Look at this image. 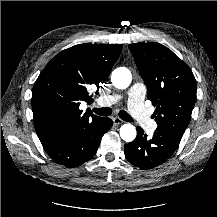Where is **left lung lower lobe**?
<instances>
[{"instance_id": "1", "label": "left lung lower lobe", "mask_w": 217, "mask_h": 217, "mask_svg": "<svg viewBox=\"0 0 217 217\" xmlns=\"http://www.w3.org/2000/svg\"><path fill=\"white\" fill-rule=\"evenodd\" d=\"M181 138L157 128L148 138L141 127H137L136 139L124 146L126 159L141 169H151L164 163L177 149Z\"/></svg>"}]
</instances>
